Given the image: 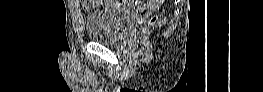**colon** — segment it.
Masks as SVG:
<instances>
[{"mask_svg":"<svg viewBox=\"0 0 263 92\" xmlns=\"http://www.w3.org/2000/svg\"><path fill=\"white\" fill-rule=\"evenodd\" d=\"M142 3H143V2L135 1V2H134V9H135V10H138V9L140 8V6H141ZM156 19H157L156 16L152 17V19L150 20L149 24L154 23V22L156 21Z\"/></svg>","mask_w":263,"mask_h":92,"instance_id":"1","label":"colon"}]
</instances>
